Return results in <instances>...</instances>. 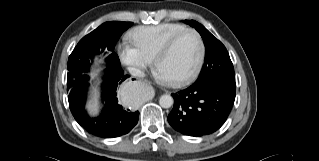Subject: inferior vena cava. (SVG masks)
<instances>
[{"mask_svg": "<svg viewBox=\"0 0 319 161\" xmlns=\"http://www.w3.org/2000/svg\"><path fill=\"white\" fill-rule=\"evenodd\" d=\"M128 71H129V73H130L131 75H133V76H137V77H144V76H145L144 72L141 71V70H140L139 68H137V67H133V66L128 67Z\"/></svg>", "mask_w": 319, "mask_h": 161, "instance_id": "602c4592", "label": "inferior vena cava"}]
</instances>
